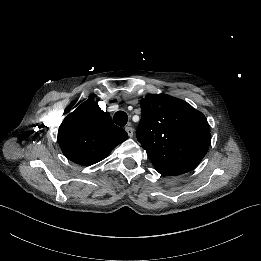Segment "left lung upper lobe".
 <instances>
[{"instance_id":"1","label":"left lung upper lobe","mask_w":261,"mask_h":261,"mask_svg":"<svg viewBox=\"0 0 261 261\" xmlns=\"http://www.w3.org/2000/svg\"><path fill=\"white\" fill-rule=\"evenodd\" d=\"M140 105L136 135L155 169L173 176L196 168L210 144L205 116L187 102L166 94L149 95Z\"/></svg>"}]
</instances>
